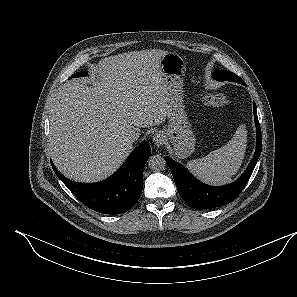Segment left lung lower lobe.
Returning a JSON list of instances; mask_svg holds the SVG:
<instances>
[{"mask_svg": "<svg viewBox=\"0 0 297 297\" xmlns=\"http://www.w3.org/2000/svg\"><path fill=\"white\" fill-rule=\"evenodd\" d=\"M253 109L257 132L256 151L247 169L235 182L219 187L205 185L193 177L181 164L174 162L169 157L165 158L180 196L192 208L210 209L228 204L240 194L247 184L262 150L261 129L255 103Z\"/></svg>", "mask_w": 297, "mask_h": 297, "instance_id": "0a47b994", "label": "left lung lower lobe"}]
</instances>
